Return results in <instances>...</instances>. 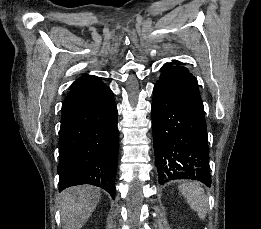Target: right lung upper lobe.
Returning <instances> with one entry per match:
<instances>
[{
    "instance_id": "obj_1",
    "label": "right lung upper lobe",
    "mask_w": 261,
    "mask_h": 229,
    "mask_svg": "<svg viewBox=\"0 0 261 229\" xmlns=\"http://www.w3.org/2000/svg\"><path fill=\"white\" fill-rule=\"evenodd\" d=\"M92 78H95V76L84 75L72 84V88H74V87L78 86L79 84L83 83L84 81L90 80Z\"/></svg>"
}]
</instances>
